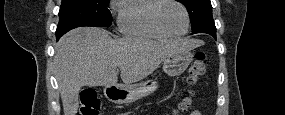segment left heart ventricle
<instances>
[{
  "label": "left heart ventricle",
  "instance_id": "b2bd125f",
  "mask_svg": "<svg viewBox=\"0 0 285 115\" xmlns=\"http://www.w3.org/2000/svg\"><path fill=\"white\" fill-rule=\"evenodd\" d=\"M162 25L171 33L179 34L186 28V19L182 8L175 3H165L159 10Z\"/></svg>",
  "mask_w": 285,
  "mask_h": 115
}]
</instances>
